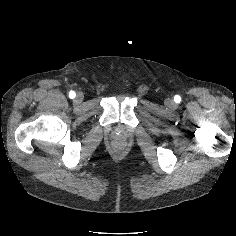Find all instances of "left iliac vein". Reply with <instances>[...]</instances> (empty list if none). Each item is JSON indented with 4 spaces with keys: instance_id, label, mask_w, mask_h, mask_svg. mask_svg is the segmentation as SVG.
Listing matches in <instances>:
<instances>
[{
    "instance_id": "4c4485c4",
    "label": "left iliac vein",
    "mask_w": 236,
    "mask_h": 236,
    "mask_svg": "<svg viewBox=\"0 0 236 236\" xmlns=\"http://www.w3.org/2000/svg\"><path fill=\"white\" fill-rule=\"evenodd\" d=\"M166 105H168V106H173V105H174V102H173L172 100H170V99H167V100H166Z\"/></svg>"
}]
</instances>
